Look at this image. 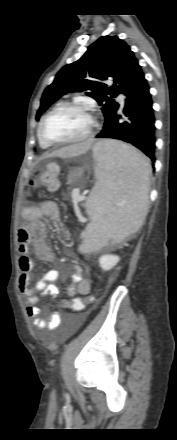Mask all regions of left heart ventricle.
<instances>
[{
	"instance_id": "left-heart-ventricle-1",
	"label": "left heart ventricle",
	"mask_w": 177,
	"mask_h": 440,
	"mask_svg": "<svg viewBox=\"0 0 177 440\" xmlns=\"http://www.w3.org/2000/svg\"><path fill=\"white\" fill-rule=\"evenodd\" d=\"M90 127L91 119L85 111L67 109L48 121L45 134L52 140H71L82 137Z\"/></svg>"
}]
</instances>
